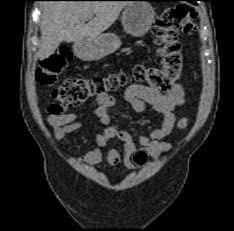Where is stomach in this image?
<instances>
[{"mask_svg":"<svg viewBox=\"0 0 234 231\" xmlns=\"http://www.w3.org/2000/svg\"><path fill=\"white\" fill-rule=\"evenodd\" d=\"M155 11L150 3L135 0L129 2L122 13V26L126 33L142 37L154 22ZM121 46L120 38L114 33L99 34L74 44V52L84 61H97L114 53Z\"/></svg>","mask_w":234,"mask_h":231,"instance_id":"stomach-1","label":"stomach"}]
</instances>
